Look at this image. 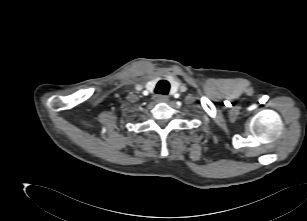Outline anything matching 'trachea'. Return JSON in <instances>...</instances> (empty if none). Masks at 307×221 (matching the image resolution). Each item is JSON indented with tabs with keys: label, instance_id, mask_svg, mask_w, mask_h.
<instances>
[{
	"label": "trachea",
	"instance_id": "3493384b",
	"mask_svg": "<svg viewBox=\"0 0 307 221\" xmlns=\"http://www.w3.org/2000/svg\"><path fill=\"white\" fill-rule=\"evenodd\" d=\"M170 89V84L167 80H160L155 88L156 94L167 95Z\"/></svg>",
	"mask_w": 307,
	"mask_h": 221
}]
</instances>
